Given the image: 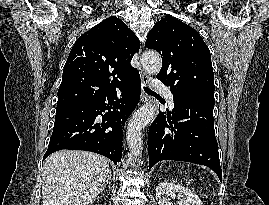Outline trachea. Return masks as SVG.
<instances>
[{"label": "trachea", "mask_w": 269, "mask_h": 205, "mask_svg": "<svg viewBox=\"0 0 269 205\" xmlns=\"http://www.w3.org/2000/svg\"><path fill=\"white\" fill-rule=\"evenodd\" d=\"M144 90H145V92L148 93V94H152V95H155V94H156L154 91L150 90V89L147 88V87H144Z\"/></svg>", "instance_id": "3493384b"}]
</instances>
